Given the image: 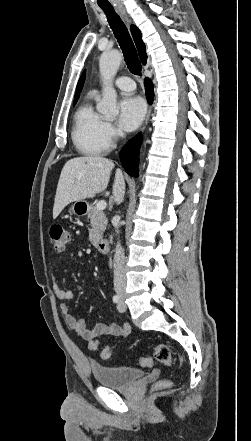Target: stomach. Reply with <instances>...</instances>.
<instances>
[{
    "mask_svg": "<svg viewBox=\"0 0 251 441\" xmlns=\"http://www.w3.org/2000/svg\"><path fill=\"white\" fill-rule=\"evenodd\" d=\"M86 208H88V205L85 201L80 200L76 201L70 208V212L76 214V215H82L86 212Z\"/></svg>",
    "mask_w": 251,
    "mask_h": 441,
    "instance_id": "0dacf381",
    "label": "stomach"
}]
</instances>
